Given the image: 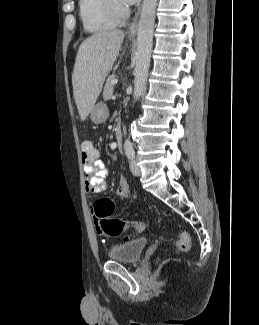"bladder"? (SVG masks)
<instances>
[{
	"mask_svg": "<svg viewBox=\"0 0 259 325\" xmlns=\"http://www.w3.org/2000/svg\"><path fill=\"white\" fill-rule=\"evenodd\" d=\"M148 245L146 238H137L126 243L111 247L107 255L111 260L122 263H136L140 260Z\"/></svg>",
	"mask_w": 259,
	"mask_h": 325,
	"instance_id": "31cf9c89",
	"label": "bladder"
}]
</instances>
